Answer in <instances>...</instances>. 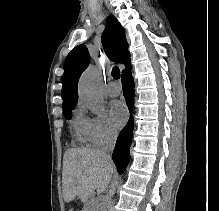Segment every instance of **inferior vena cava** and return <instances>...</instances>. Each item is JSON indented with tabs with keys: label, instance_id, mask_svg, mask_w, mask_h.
Listing matches in <instances>:
<instances>
[{
	"label": "inferior vena cava",
	"instance_id": "1",
	"mask_svg": "<svg viewBox=\"0 0 219 211\" xmlns=\"http://www.w3.org/2000/svg\"><path fill=\"white\" fill-rule=\"evenodd\" d=\"M116 137L117 131H115V133H109L108 137H106L105 145H103L102 149H100L102 155H104V157H107V159H111V151H113L115 147Z\"/></svg>",
	"mask_w": 219,
	"mask_h": 211
}]
</instances>
